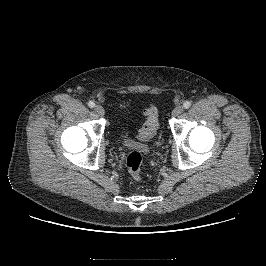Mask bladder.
<instances>
[{
	"label": "bladder",
	"mask_w": 266,
	"mask_h": 266,
	"mask_svg": "<svg viewBox=\"0 0 266 266\" xmlns=\"http://www.w3.org/2000/svg\"><path fill=\"white\" fill-rule=\"evenodd\" d=\"M122 145L124 148L126 149H130L132 147L135 146V143L128 137H125L123 140H122ZM140 148L143 150V151H146V147L145 146H140Z\"/></svg>",
	"instance_id": "1"
}]
</instances>
